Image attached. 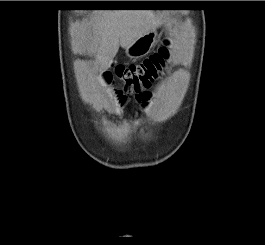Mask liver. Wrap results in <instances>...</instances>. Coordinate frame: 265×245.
Here are the masks:
<instances>
[{"label": "liver", "mask_w": 265, "mask_h": 245, "mask_svg": "<svg viewBox=\"0 0 265 245\" xmlns=\"http://www.w3.org/2000/svg\"><path fill=\"white\" fill-rule=\"evenodd\" d=\"M160 24L161 18L151 10L95 12L83 33L84 46L94 54L96 64L107 69L119 46L127 49Z\"/></svg>", "instance_id": "6515ba94"}]
</instances>
